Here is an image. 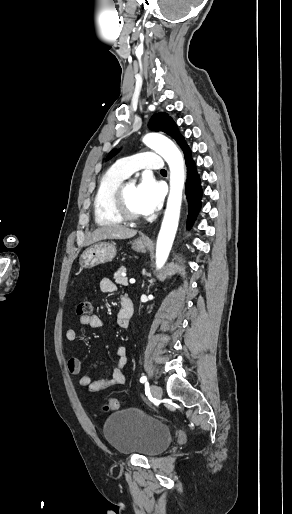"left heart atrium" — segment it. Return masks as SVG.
I'll list each match as a JSON object with an SVG mask.
<instances>
[{"label": "left heart atrium", "mask_w": 292, "mask_h": 514, "mask_svg": "<svg viewBox=\"0 0 292 514\" xmlns=\"http://www.w3.org/2000/svg\"><path fill=\"white\" fill-rule=\"evenodd\" d=\"M136 195L143 213H153L162 203L163 190L152 174L145 173L136 187Z\"/></svg>", "instance_id": "obj_1"}]
</instances>
